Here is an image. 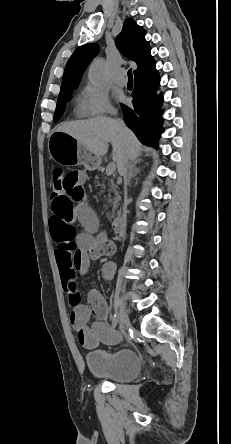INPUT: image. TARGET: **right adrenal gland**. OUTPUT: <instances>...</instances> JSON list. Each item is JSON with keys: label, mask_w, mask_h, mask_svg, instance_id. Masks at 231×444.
<instances>
[{"label": "right adrenal gland", "mask_w": 231, "mask_h": 444, "mask_svg": "<svg viewBox=\"0 0 231 444\" xmlns=\"http://www.w3.org/2000/svg\"><path fill=\"white\" fill-rule=\"evenodd\" d=\"M136 162H131L129 164V173H128V177H127V182H130V179L132 176L138 174L140 172L139 168H136Z\"/></svg>", "instance_id": "2a0ac1e0"}]
</instances>
